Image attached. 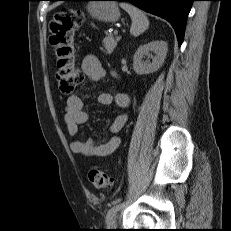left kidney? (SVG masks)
<instances>
[{"label": "left kidney", "mask_w": 231, "mask_h": 231, "mask_svg": "<svg viewBox=\"0 0 231 231\" xmlns=\"http://www.w3.org/2000/svg\"><path fill=\"white\" fill-rule=\"evenodd\" d=\"M167 50V43L162 40L152 41L140 46L133 58V68L135 72L142 75L157 71L164 63ZM150 52H154L156 55L152 56ZM145 56L152 58V62L149 60L144 61L143 58Z\"/></svg>", "instance_id": "5707ae66"}]
</instances>
